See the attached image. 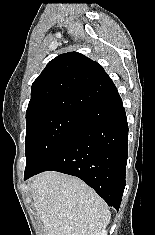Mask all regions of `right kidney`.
<instances>
[{
    "label": "right kidney",
    "instance_id": "right-kidney-1",
    "mask_svg": "<svg viewBox=\"0 0 155 235\" xmlns=\"http://www.w3.org/2000/svg\"><path fill=\"white\" fill-rule=\"evenodd\" d=\"M99 235H107V231L103 229Z\"/></svg>",
    "mask_w": 155,
    "mask_h": 235
}]
</instances>
